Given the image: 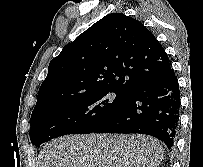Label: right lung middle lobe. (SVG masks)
I'll use <instances>...</instances> for the list:
<instances>
[{
  "label": "right lung middle lobe",
  "mask_w": 203,
  "mask_h": 167,
  "mask_svg": "<svg viewBox=\"0 0 203 167\" xmlns=\"http://www.w3.org/2000/svg\"><path fill=\"white\" fill-rule=\"evenodd\" d=\"M124 101L125 95L114 91H99L55 101L32 112L30 140L39 147L63 135L92 133Z\"/></svg>",
  "instance_id": "dd1d6c3e"
}]
</instances>
